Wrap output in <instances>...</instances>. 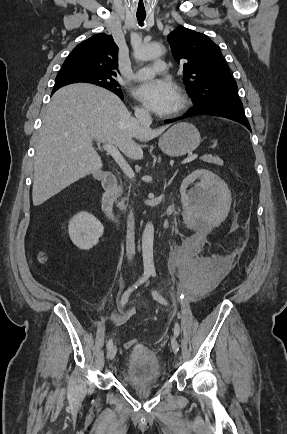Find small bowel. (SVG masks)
<instances>
[{
    "mask_svg": "<svg viewBox=\"0 0 287 434\" xmlns=\"http://www.w3.org/2000/svg\"><path fill=\"white\" fill-rule=\"evenodd\" d=\"M129 316H130L129 311H124L120 313L111 312L109 315V319L114 326H120L128 320Z\"/></svg>",
    "mask_w": 287,
    "mask_h": 434,
    "instance_id": "1",
    "label": "small bowel"
}]
</instances>
